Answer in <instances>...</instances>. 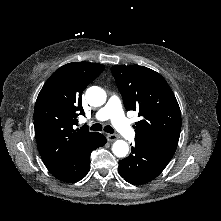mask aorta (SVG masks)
Listing matches in <instances>:
<instances>
[{"label": "aorta", "instance_id": "obj_1", "mask_svg": "<svg viewBox=\"0 0 221 221\" xmlns=\"http://www.w3.org/2000/svg\"><path fill=\"white\" fill-rule=\"evenodd\" d=\"M86 99L91 106L99 107L106 102L105 91L98 87H89L86 91ZM112 151L117 157H125L128 154L129 146L124 140H117L113 143Z\"/></svg>", "mask_w": 221, "mask_h": 221}]
</instances>
